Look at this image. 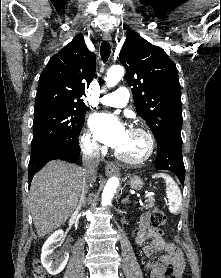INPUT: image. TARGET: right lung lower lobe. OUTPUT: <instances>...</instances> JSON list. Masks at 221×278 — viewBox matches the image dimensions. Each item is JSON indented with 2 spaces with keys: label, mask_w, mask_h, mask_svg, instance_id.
<instances>
[{
  "label": "right lung lower lobe",
  "mask_w": 221,
  "mask_h": 278,
  "mask_svg": "<svg viewBox=\"0 0 221 278\" xmlns=\"http://www.w3.org/2000/svg\"><path fill=\"white\" fill-rule=\"evenodd\" d=\"M80 155L78 137L50 136L32 145L30 161L28 165V184L42 167L51 160L62 159L68 162H76Z\"/></svg>",
  "instance_id": "98d812e1"
}]
</instances>
